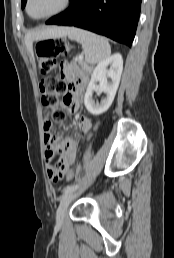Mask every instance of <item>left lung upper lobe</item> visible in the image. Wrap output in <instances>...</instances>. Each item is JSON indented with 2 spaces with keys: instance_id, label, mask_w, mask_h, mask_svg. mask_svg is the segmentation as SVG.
Listing matches in <instances>:
<instances>
[{
  "instance_id": "left-lung-upper-lobe-1",
  "label": "left lung upper lobe",
  "mask_w": 174,
  "mask_h": 258,
  "mask_svg": "<svg viewBox=\"0 0 174 258\" xmlns=\"http://www.w3.org/2000/svg\"><path fill=\"white\" fill-rule=\"evenodd\" d=\"M26 1L27 0H22V9L25 7Z\"/></svg>"
}]
</instances>
